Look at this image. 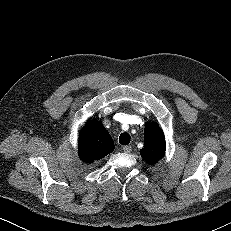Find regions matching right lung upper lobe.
Here are the masks:
<instances>
[{"label":"right lung upper lobe","mask_w":231,"mask_h":231,"mask_svg":"<svg viewBox=\"0 0 231 231\" xmlns=\"http://www.w3.org/2000/svg\"><path fill=\"white\" fill-rule=\"evenodd\" d=\"M78 154L85 163H93L114 150V142L101 121L88 120L79 134Z\"/></svg>","instance_id":"obj_1"}]
</instances>
